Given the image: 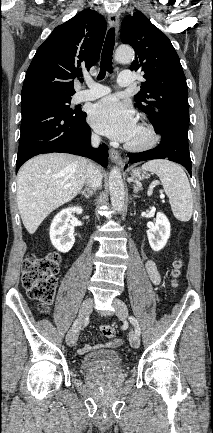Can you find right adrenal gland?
I'll return each mask as SVG.
<instances>
[{
  "label": "right adrenal gland",
  "instance_id": "obj_1",
  "mask_svg": "<svg viewBox=\"0 0 213 433\" xmlns=\"http://www.w3.org/2000/svg\"><path fill=\"white\" fill-rule=\"evenodd\" d=\"M80 194L84 196L86 199H89L92 196V190L91 189H85L84 191H81Z\"/></svg>",
  "mask_w": 213,
  "mask_h": 433
}]
</instances>
